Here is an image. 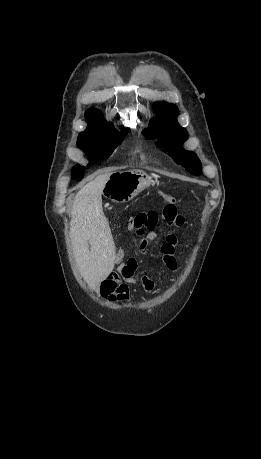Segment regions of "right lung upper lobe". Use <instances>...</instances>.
Instances as JSON below:
<instances>
[{"mask_svg":"<svg viewBox=\"0 0 261 459\" xmlns=\"http://www.w3.org/2000/svg\"><path fill=\"white\" fill-rule=\"evenodd\" d=\"M85 116L89 126L81 134L104 131L113 127L112 124H108L104 121L101 112L97 109L87 110Z\"/></svg>","mask_w":261,"mask_h":459,"instance_id":"right-lung-upper-lobe-1","label":"right lung upper lobe"}]
</instances>
